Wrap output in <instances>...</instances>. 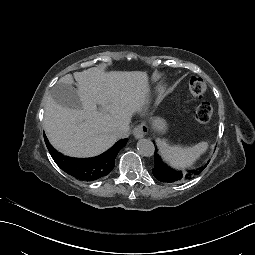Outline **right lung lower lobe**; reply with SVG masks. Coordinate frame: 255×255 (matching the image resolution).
Here are the masks:
<instances>
[{
  "label": "right lung lower lobe",
  "mask_w": 255,
  "mask_h": 255,
  "mask_svg": "<svg viewBox=\"0 0 255 255\" xmlns=\"http://www.w3.org/2000/svg\"><path fill=\"white\" fill-rule=\"evenodd\" d=\"M83 179L86 181L94 179V166L92 164H85L83 166Z\"/></svg>",
  "instance_id": "98d812e1"
}]
</instances>
